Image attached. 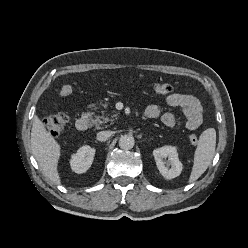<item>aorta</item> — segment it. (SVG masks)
<instances>
[{"mask_svg":"<svg viewBox=\"0 0 248 248\" xmlns=\"http://www.w3.org/2000/svg\"><path fill=\"white\" fill-rule=\"evenodd\" d=\"M135 144L134 137L132 135H122L119 139V147L124 150H130Z\"/></svg>","mask_w":248,"mask_h":248,"instance_id":"obj_1","label":"aorta"}]
</instances>
